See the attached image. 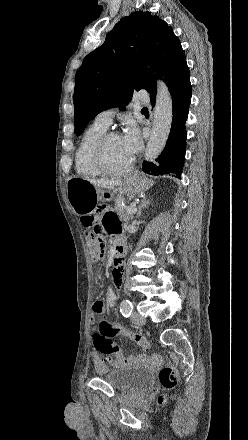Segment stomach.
I'll return each instance as SVG.
<instances>
[{
    "mask_svg": "<svg viewBox=\"0 0 248 440\" xmlns=\"http://www.w3.org/2000/svg\"><path fill=\"white\" fill-rule=\"evenodd\" d=\"M151 186L149 180L139 175H131L124 179L118 188L105 189L95 187L88 180L79 177L69 178L66 189L68 200L76 213H84L91 209L96 201H111L115 198L117 191L120 196L134 198L144 193Z\"/></svg>",
    "mask_w": 248,
    "mask_h": 440,
    "instance_id": "0dacf381",
    "label": "stomach"
}]
</instances>
